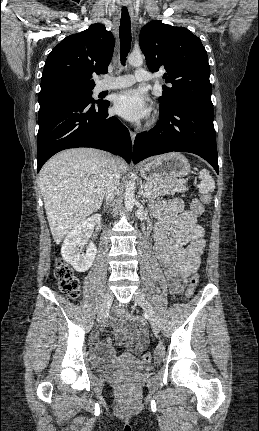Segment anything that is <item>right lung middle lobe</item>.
I'll list each match as a JSON object with an SVG mask.
<instances>
[{"instance_id": "1", "label": "right lung middle lobe", "mask_w": 259, "mask_h": 431, "mask_svg": "<svg viewBox=\"0 0 259 431\" xmlns=\"http://www.w3.org/2000/svg\"><path fill=\"white\" fill-rule=\"evenodd\" d=\"M65 97L94 102L92 88H81L68 82H54L42 88L39 93V103Z\"/></svg>"}]
</instances>
